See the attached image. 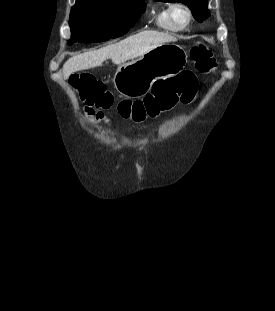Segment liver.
Segmentation results:
<instances>
[{"label":"liver","mask_w":275,"mask_h":311,"mask_svg":"<svg viewBox=\"0 0 275 311\" xmlns=\"http://www.w3.org/2000/svg\"><path fill=\"white\" fill-rule=\"evenodd\" d=\"M174 40V37L165 33L142 31L118 43L69 58L63 65V76L67 79L77 71L101 66L107 59H111L114 64L120 65Z\"/></svg>","instance_id":"6515ba94"}]
</instances>
